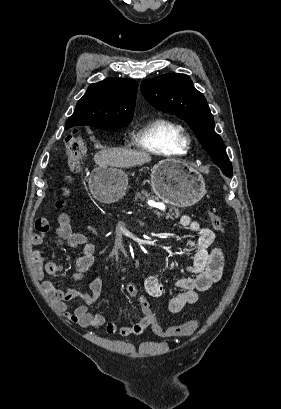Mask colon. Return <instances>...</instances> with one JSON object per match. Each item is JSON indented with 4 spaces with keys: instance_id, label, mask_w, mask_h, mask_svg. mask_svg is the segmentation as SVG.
<instances>
[{
    "instance_id": "1",
    "label": "colon",
    "mask_w": 281,
    "mask_h": 409,
    "mask_svg": "<svg viewBox=\"0 0 281 409\" xmlns=\"http://www.w3.org/2000/svg\"><path fill=\"white\" fill-rule=\"evenodd\" d=\"M86 145L82 139H79L75 135H71L67 137L66 139V145H65V155L68 163L72 166H77L78 162L82 158L85 152ZM210 222L212 226L219 232L224 231V224L222 218L215 214L212 213L210 215ZM180 329L178 328H169L168 330H163L161 329L156 323L152 325L153 330L162 336H169V335H188V334H193L194 330L197 328V323L196 322H182L180 324Z\"/></svg>"
}]
</instances>
